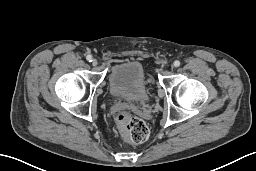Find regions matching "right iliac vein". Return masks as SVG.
<instances>
[{"label": "right iliac vein", "instance_id": "obj_1", "mask_svg": "<svg viewBox=\"0 0 256 171\" xmlns=\"http://www.w3.org/2000/svg\"><path fill=\"white\" fill-rule=\"evenodd\" d=\"M91 62H92V65H93V66H96V65H97V60H96V59H92Z\"/></svg>", "mask_w": 256, "mask_h": 171}]
</instances>
